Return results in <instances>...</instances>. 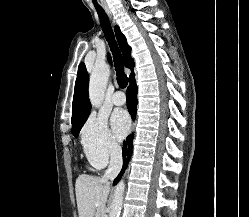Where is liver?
<instances>
[{
  "instance_id": "1",
  "label": "liver",
  "mask_w": 249,
  "mask_h": 217,
  "mask_svg": "<svg viewBox=\"0 0 249 217\" xmlns=\"http://www.w3.org/2000/svg\"><path fill=\"white\" fill-rule=\"evenodd\" d=\"M75 191L79 217H104L110 191L108 181L81 174L76 180Z\"/></svg>"
}]
</instances>
